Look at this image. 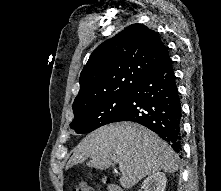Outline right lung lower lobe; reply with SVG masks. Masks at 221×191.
<instances>
[{"instance_id":"right-lung-lower-lobe-1","label":"right lung lower lobe","mask_w":221,"mask_h":191,"mask_svg":"<svg viewBox=\"0 0 221 191\" xmlns=\"http://www.w3.org/2000/svg\"><path fill=\"white\" fill-rule=\"evenodd\" d=\"M172 63L168 56L135 86L116 122L140 123L181 152V103Z\"/></svg>"}]
</instances>
